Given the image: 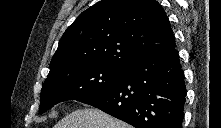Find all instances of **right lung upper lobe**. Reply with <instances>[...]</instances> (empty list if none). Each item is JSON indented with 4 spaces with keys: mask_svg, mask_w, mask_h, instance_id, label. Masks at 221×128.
<instances>
[{
    "mask_svg": "<svg viewBox=\"0 0 221 128\" xmlns=\"http://www.w3.org/2000/svg\"><path fill=\"white\" fill-rule=\"evenodd\" d=\"M175 46L168 17L156 0H101L67 28L50 72L89 64L129 68Z\"/></svg>",
    "mask_w": 221,
    "mask_h": 128,
    "instance_id": "1",
    "label": "right lung upper lobe"
}]
</instances>
